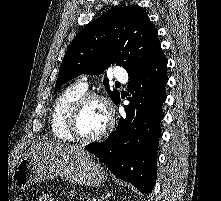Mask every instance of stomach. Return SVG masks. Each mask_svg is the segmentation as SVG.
Instances as JSON below:
<instances>
[{
    "instance_id": "stomach-1",
    "label": "stomach",
    "mask_w": 221,
    "mask_h": 201,
    "mask_svg": "<svg viewBox=\"0 0 221 201\" xmlns=\"http://www.w3.org/2000/svg\"><path fill=\"white\" fill-rule=\"evenodd\" d=\"M64 177L72 183L96 187L106 174L89 154L51 155L35 153L21 159L12 175L13 185L26 188L44 180Z\"/></svg>"
}]
</instances>
